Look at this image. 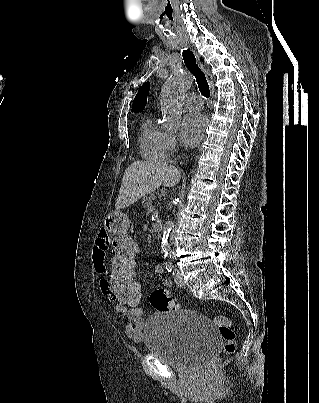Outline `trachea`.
Segmentation results:
<instances>
[{
	"label": "trachea",
	"mask_w": 319,
	"mask_h": 403,
	"mask_svg": "<svg viewBox=\"0 0 319 403\" xmlns=\"http://www.w3.org/2000/svg\"><path fill=\"white\" fill-rule=\"evenodd\" d=\"M183 60L188 70L195 76L198 88L201 94L208 98L210 96V89L204 73L199 69L195 55L190 50L183 51Z\"/></svg>",
	"instance_id": "obj_1"
}]
</instances>
